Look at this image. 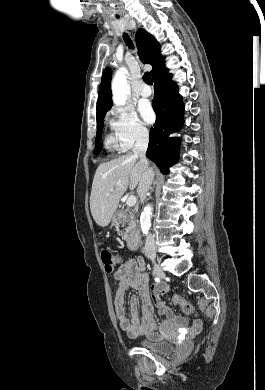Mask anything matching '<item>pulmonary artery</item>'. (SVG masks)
Wrapping results in <instances>:
<instances>
[{"instance_id": "obj_1", "label": "pulmonary artery", "mask_w": 265, "mask_h": 390, "mask_svg": "<svg viewBox=\"0 0 265 390\" xmlns=\"http://www.w3.org/2000/svg\"><path fill=\"white\" fill-rule=\"evenodd\" d=\"M138 93L143 98L149 97L151 95V88L146 84H142L138 88Z\"/></svg>"}]
</instances>
